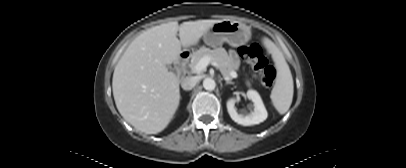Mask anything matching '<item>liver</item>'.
Here are the masks:
<instances>
[{
    "instance_id": "liver-1",
    "label": "liver",
    "mask_w": 406,
    "mask_h": 168,
    "mask_svg": "<svg viewBox=\"0 0 406 168\" xmlns=\"http://www.w3.org/2000/svg\"><path fill=\"white\" fill-rule=\"evenodd\" d=\"M220 21L169 22L130 43L115 66L112 90L119 113L135 129L157 134L167 127L180 102L179 79L167 65L179 60L182 47L195 45Z\"/></svg>"
}]
</instances>
